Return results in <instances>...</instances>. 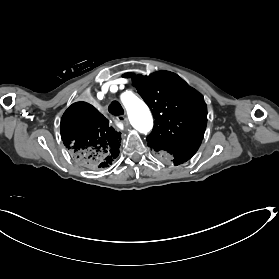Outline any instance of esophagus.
I'll use <instances>...</instances> for the list:
<instances>
[{
	"mask_svg": "<svg viewBox=\"0 0 279 279\" xmlns=\"http://www.w3.org/2000/svg\"><path fill=\"white\" fill-rule=\"evenodd\" d=\"M117 120L119 122H121L124 126H128L129 125L128 118L126 116H124V115L117 116Z\"/></svg>",
	"mask_w": 279,
	"mask_h": 279,
	"instance_id": "esophagus-1",
	"label": "esophagus"
}]
</instances>
